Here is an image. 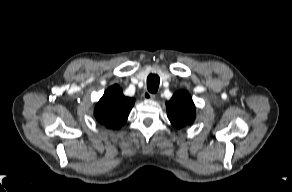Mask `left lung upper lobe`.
<instances>
[{
	"mask_svg": "<svg viewBox=\"0 0 292 192\" xmlns=\"http://www.w3.org/2000/svg\"><path fill=\"white\" fill-rule=\"evenodd\" d=\"M167 115L171 124L176 128L190 125L195 119V105L188 92H176L166 103Z\"/></svg>",
	"mask_w": 292,
	"mask_h": 192,
	"instance_id": "left-lung-upper-lobe-1",
	"label": "left lung upper lobe"
}]
</instances>
